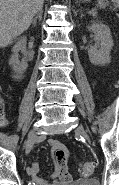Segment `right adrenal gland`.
<instances>
[{
  "label": "right adrenal gland",
  "mask_w": 119,
  "mask_h": 185,
  "mask_svg": "<svg viewBox=\"0 0 119 185\" xmlns=\"http://www.w3.org/2000/svg\"><path fill=\"white\" fill-rule=\"evenodd\" d=\"M42 14H43V11H42V10H40V11L36 14V16L34 17V19L32 20L33 26L36 25L37 19H39V21L42 20Z\"/></svg>",
  "instance_id": "1"
}]
</instances>
